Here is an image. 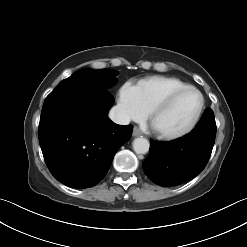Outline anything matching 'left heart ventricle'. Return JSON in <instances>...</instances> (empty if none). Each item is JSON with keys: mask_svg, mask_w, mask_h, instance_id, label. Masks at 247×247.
Masks as SVG:
<instances>
[{"mask_svg": "<svg viewBox=\"0 0 247 247\" xmlns=\"http://www.w3.org/2000/svg\"><path fill=\"white\" fill-rule=\"evenodd\" d=\"M200 105V97L189 91L178 97L162 112L155 116L152 124L161 132L174 133L187 127Z\"/></svg>", "mask_w": 247, "mask_h": 247, "instance_id": "b2bd125f", "label": "left heart ventricle"}]
</instances>
